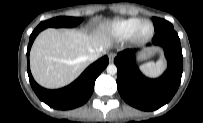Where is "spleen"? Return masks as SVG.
Masks as SVG:
<instances>
[{"label":"spleen","instance_id":"spleen-1","mask_svg":"<svg viewBox=\"0 0 203 123\" xmlns=\"http://www.w3.org/2000/svg\"><path fill=\"white\" fill-rule=\"evenodd\" d=\"M164 59L158 60L156 63L149 62L141 66V70L148 76L156 77L160 75L165 69Z\"/></svg>","mask_w":203,"mask_h":123}]
</instances>
